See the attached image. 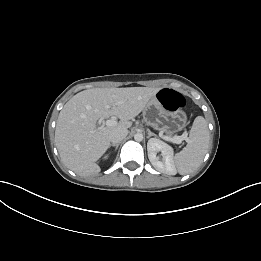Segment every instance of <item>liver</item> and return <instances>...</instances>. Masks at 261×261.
Masks as SVG:
<instances>
[{"instance_id":"obj_1","label":"liver","mask_w":261,"mask_h":261,"mask_svg":"<svg viewBox=\"0 0 261 261\" xmlns=\"http://www.w3.org/2000/svg\"><path fill=\"white\" fill-rule=\"evenodd\" d=\"M160 88H94L74 95L60 111L55 144L66 167L81 176L101 171L96 163L110 146L109 134L117 128H130V121L144 110ZM110 106V108H107ZM116 116L115 126L96 128L100 118Z\"/></svg>"}]
</instances>
